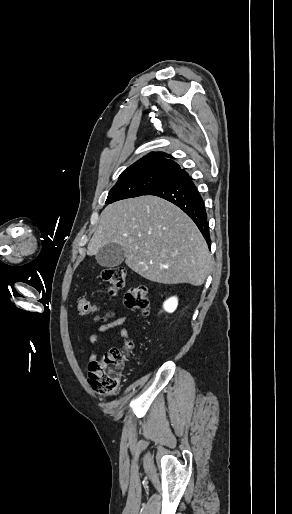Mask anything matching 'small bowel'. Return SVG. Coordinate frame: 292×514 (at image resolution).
<instances>
[{
    "mask_svg": "<svg viewBox=\"0 0 292 514\" xmlns=\"http://www.w3.org/2000/svg\"><path fill=\"white\" fill-rule=\"evenodd\" d=\"M128 322V318L125 316H118L114 310H106L98 312L93 318V328L89 336V342L91 347L94 349L98 341H100L107 332L112 331L115 335L119 336L125 341L131 340V335L128 329L125 327ZM99 326L98 329H94L95 326ZM85 353L84 347L79 348V354L83 356ZM89 365L94 367L96 365V353L94 350L89 355Z\"/></svg>",
    "mask_w": 292,
    "mask_h": 514,
    "instance_id": "obj_1",
    "label": "small bowel"
}]
</instances>
